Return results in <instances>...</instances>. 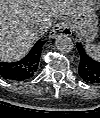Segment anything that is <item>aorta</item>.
<instances>
[{
    "label": "aorta",
    "instance_id": "aorta-1",
    "mask_svg": "<svg viewBox=\"0 0 100 118\" xmlns=\"http://www.w3.org/2000/svg\"><path fill=\"white\" fill-rule=\"evenodd\" d=\"M55 45L56 48L62 53H68L72 51L74 47L72 39L65 34H61L56 38Z\"/></svg>",
    "mask_w": 100,
    "mask_h": 118
}]
</instances>
